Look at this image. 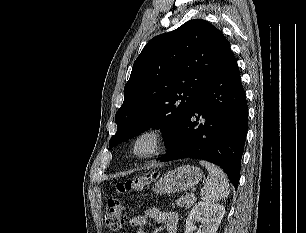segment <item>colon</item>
<instances>
[{
    "label": "colon",
    "mask_w": 306,
    "mask_h": 233,
    "mask_svg": "<svg viewBox=\"0 0 306 233\" xmlns=\"http://www.w3.org/2000/svg\"><path fill=\"white\" fill-rule=\"evenodd\" d=\"M155 174H147L143 177L129 180L125 183H117L115 190L119 194H127L141 190ZM126 218L125 207L117 198L109 199L105 210L104 220L107 229L113 232L120 231L124 225Z\"/></svg>",
    "instance_id": "5ec220e1"
}]
</instances>
